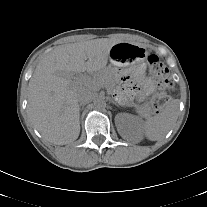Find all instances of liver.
I'll return each mask as SVG.
<instances>
[{"label":"liver","mask_w":207,"mask_h":207,"mask_svg":"<svg viewBox=\"0 0 207 207\" xmlns=\"http://www.w3.org/2000/svg\"><path fill=\"white\" fill-rule=\"evenodd\" d=\"M117 43L101 38L66 44L56 47L38 62L29 81L27 113L46 141L64 145L78 138L77 92L92 87L86 82H74L73 74L104 70L110 50Z\"/></svg>","instance_id":"liver-1"}]
</instances>
